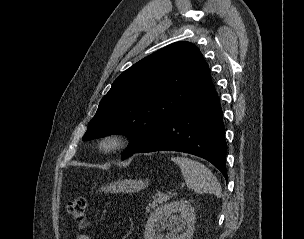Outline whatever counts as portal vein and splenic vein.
<instances>
[{"label":"portal vein and splenic vein","instance_id":"1","mask_svg":"<svg viewBox=\"0 0 304 239\" xmlns=\"http://www.w3.org/2000/svg\"><path fill=\"white\" fill-rule=\"evenodd\" d=\"M177 193L176 192H173V195H176Z\"/></svg>","mask_w":304,"mask_h":239}]
</instances>
